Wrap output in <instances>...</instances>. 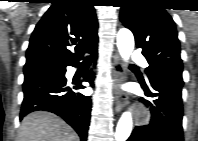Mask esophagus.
<instances>
[{"mask_svg":"<svg viewBox=\"0 0 198 141\" xmlns=\"http://www.w3.org/2000/svg\"><path fill=\"white\" fill-rule=\"evenodd\" d=\"M123 64L121 58L118 54L113 57V77L115 82V111L118 113L121 111L125 105V95L123 91L119 88L120 84L123 82Z\"/></svg>","mask_w":198,"mask_h":141,"instance_id":"obj_1","label":"esophagus"}]
</instances>
